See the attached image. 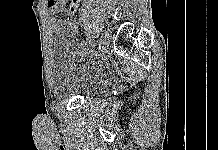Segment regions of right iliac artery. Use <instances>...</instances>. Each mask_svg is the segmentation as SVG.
Returning <instances> with one entry per match:
<instances>
[{
    "label": "right iliac artery",
    "instance_id": "82829eb1",
    "mask_svg": "<svg viewBox=\"0 0 218 150\" xmlns=\"http://www.w3.org/2000/svg\"><path fill=\"white\" fill-rule=\"evenodd\" d=\"M91 40H93V41L91 42ZM94 42H95L94 39H90V40H89V43H90V44H87V48H86L85 50H83V55H88V53H87L86 51L88 50V48L90 47V45L93 44Z\"/></svg>",
    "mask_w": 218,
    "mask_h": 150
}]
</instances>
